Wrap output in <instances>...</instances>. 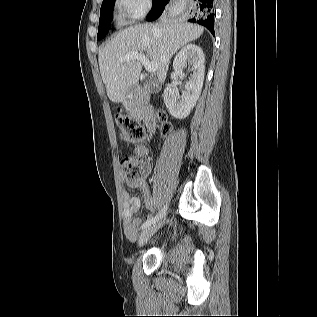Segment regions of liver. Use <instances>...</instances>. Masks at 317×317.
<instances>
[{"mask_svg": "<svg viewBox=\"0 0 317 317\" xmlns=\"http://www.w3.org/2000/svg\"><path fill=\"white\" fill-rule=\"evenodd\" d=\"M204 28L178 19L157 24H139L118 32L100 51V73L109 99L125 101L138 85L142 65L138 60L121 61L129 52L146 53L157 63V77L164 83L172 56L187 43L198 39Z\"/></svg>", "mask_w": 317, "mask_h": 317, "instance_id": "obj_1", "label": "liver"}]
</instances>
